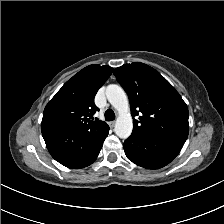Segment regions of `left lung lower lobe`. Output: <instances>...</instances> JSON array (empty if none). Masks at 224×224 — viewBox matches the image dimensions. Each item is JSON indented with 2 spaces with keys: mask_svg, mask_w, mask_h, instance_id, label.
Segmentation results:
<instances>
[{
  "mask_svg": "<svg viewBox=\"0 0 224 224\" xmlns=\"http://www.w3.org/2000/svg\"><path fill=\"white\" fill-rule=\"evenodd\" d=\"M183 145L171 141L133 133L124 142V151L129 160L147 169H158L170 163Z\"/></svg>",
  "mask_w": 224,
  "mask_h": 224,
  "instance_id": "left-lung-lower-lobe-1",
  "label": "left lung lower lobe"
}]
</instances>
